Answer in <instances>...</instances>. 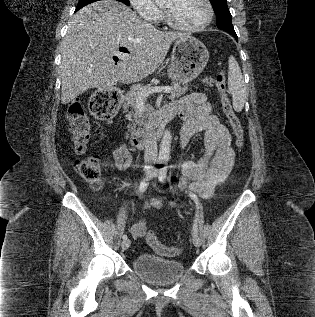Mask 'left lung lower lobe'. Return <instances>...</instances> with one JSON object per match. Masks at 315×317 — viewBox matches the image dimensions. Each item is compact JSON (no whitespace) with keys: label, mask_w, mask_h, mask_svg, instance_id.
<instances>
[{"label":"left lung lower lobe","mask_w":315,"mask_h":317,"mask_svg":"<svg viewBox=\"0 0 315 317\" xmlns=\"http://www.w3.org/2000/svg\"><path fill=\"white\" fill-rule=\"evenodd\" d=\"M230 34H232L234 36V38L236 39V41H238L236 33H230Z\"/></svg>","instance_id":"0a47b994"}]
</instances>
